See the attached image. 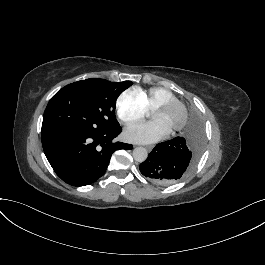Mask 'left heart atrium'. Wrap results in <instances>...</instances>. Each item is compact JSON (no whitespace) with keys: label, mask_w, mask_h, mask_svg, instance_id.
<instances>
[{"label":"left heart atrium","mask_w":265,"mask_h":265,"mask_svg":"<svg viewBox=\"0 0 265 265\" xmlns=\"http://www.w3.org/2000/svg\"><path fill=\"white\" fill-rule=\"evenodd\" d=\"M167 135L168 129L157 121L131 125L123 133L125 140L134 143H152L164 139Z\"/></svg>","instance_id":"left-heart-atrium-1"}]
</instances>
